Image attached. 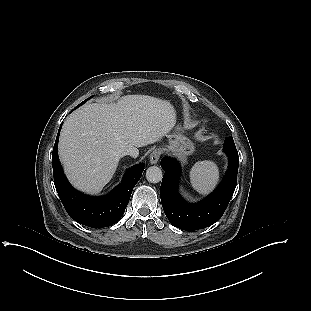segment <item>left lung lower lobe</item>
<instances>
[{"label":"left lung lower lobe","instance_id":"left-lung-lower-lobe-1","mask_svg":"<svg viewBox=\"0 0 311 311\" xmlns=\"http://www.w3.org/2000/svg\"><path fill=\"white\" fill-rule=\"evenodd\" d=\"M229 163L227 173L214 192L199 203H187L178 192L180 164L169 157L161 160L165 174L160 188L163 210L170 223L182 230L194 231L217 222L234 193L237 183L239 157L237 150L223 149Z\"/></svg>","mask_w":311,"mask_h":311}]
</instances>
